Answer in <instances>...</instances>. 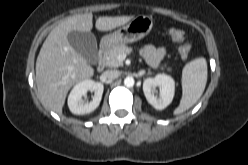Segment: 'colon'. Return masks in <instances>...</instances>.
<instances>
[{
  "label": "colon",
  "instance_id": "1",
  "mask_svg": "<svg viewBox=\"0 0 248 165\" xmlns=\"http://www.w3.org/2000/svg\"><path fill=\"white\" fill-rule=\"evenodd\" d=\"M171 39L179 44V54L183 59H187L191 52V46L186 40V34L180 29H171L169 32Z\"/></svg>",
  "mask_w": 248,
  "mask_h": 165
}]
</instances>
